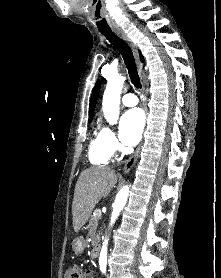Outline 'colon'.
Wrapping results in <instances>:
<instances>
[{
	"instance_id": "colon-1",
	"label": "colon",
	"mask_w": 221,
	"mask_h": 278,
	"mask_svg": "<svg viewBox=\"0 0 221 278\" xmlns=\"http://www.w3.org/2000/svg\"><path fill=\"white\" fill-rule=\"evenodd\" d=\"M64 278H84V271L80 266H69L65 271Z\"/></svg>"
}]
</instances>
